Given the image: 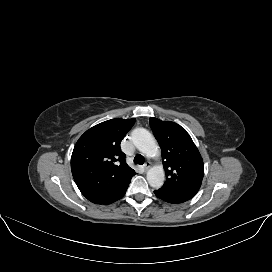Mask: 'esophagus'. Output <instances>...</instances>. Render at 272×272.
<instances>
[{"mask_svg": "<svg viewBox=\"0 0 272 272\" xmlns=\"http://www.w3.org/2000/svg\"><path fill=\"white\" fill-rule=\"evenodd\" d=\"M151 167V163L150 162H146L143 166L144 170L147 171L149 168Z\"/></svg>", "mask_w": 272, "mask_h": 272, "instance_id": "1", "label": "esophagus"}]
</instances>
